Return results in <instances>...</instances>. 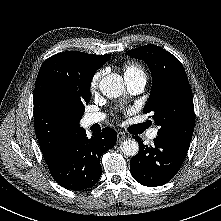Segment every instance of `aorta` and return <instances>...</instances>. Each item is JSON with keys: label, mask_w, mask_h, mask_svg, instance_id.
I'll return each mask as SVG.
<instances>
[{"label": "aorta", "mask_w": 221, "mask_h": 221, "mask_svg": "<svg viewBox=\"0 0 221 221\" xmlns=\"http://www.w3.org/2000/svg\"><path fill=\"white\" fill-rule=\"evenodd\" d=\"M99 88L102 94L108 98H117L124 92L125 86L123 79L118 74H109L104 76ZM121 151L126 156H135L139 151L138 142L134 139L124 140L120 146Z\"/></svg>", "instance_id": "aorta-1"}]
</instances>
